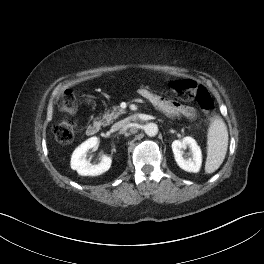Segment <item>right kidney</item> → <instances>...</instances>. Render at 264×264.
<instances>
[{"label": "right kidney", "mask_w": 264, "mask_h": 264, "mask_svg": "<svg viewBox=\"0 0 264 264\" xmlns=\"http://www.w3.org/2000/svg\"><path fill=\"white\" fill-rule=\"evenodd\" d=\"M97 147V137H91L78 146L71 157V168L82 176H97L108 171L112 163L111 157L103 156L101 162L98 164H91L90 161L86 159L88 150Z\"/></svg>", "instance_id": "ca27d5eb"}]
</instances>
